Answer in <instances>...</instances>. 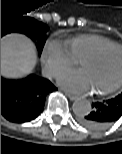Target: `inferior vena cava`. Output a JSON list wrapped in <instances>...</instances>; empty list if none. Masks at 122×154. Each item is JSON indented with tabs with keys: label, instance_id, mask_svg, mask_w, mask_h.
I'll list each match as a JSON object with an SVG mask.
<instances>
[{
	"label": "inferior vena cava",
	"instance_id": "1",
	"mask_svg": "<svg viewBox=\"0 0 122 154\" xmlns=\"http://www.w3.org/2000/svg\"><path fill=\"white\" fill-rule=\"evenodd\" d=\"M42 75H43L44 77H46V78H51L52 72H51L49 69L44 68V69L42 70Z\"/></svg>",
	"mask_w": 122,
	"mask_h": 154
}]
</instances>
